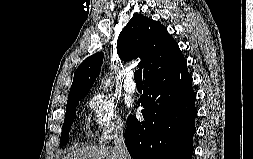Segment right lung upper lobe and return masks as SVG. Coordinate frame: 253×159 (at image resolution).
Returning <instances> with one entry per match:
<instances>
[{"mask_svg": "<svg viewBox=\"0 0 253 159\" xmlns=\"http://www.w3.org/2000/svg\"><path fill=\"white\" fill-rule=\"evenodd\" d=\"M117 53L124 61L141 58L145 80L168 75L186 63L178 44L164 25L141 14H135L121 31ZM103 52L86 58L75 72L68 101L85 97L99 75ZM144 80V81H145Z\"/></svg>", "mask_w": 253, "mask_h": 159, "instance_id": "obj_1", "label": "right lung upper lobe"}]
</instances>
